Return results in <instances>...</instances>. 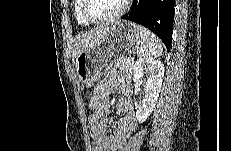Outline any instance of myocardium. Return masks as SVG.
<instances>
[{"instance_id":"f54148a6","label":"myocardium","mask_w":231,"mask_h":151,"mask_svg":"<svg viewBox=\"0 0 231 151\" xmlns=\"http://www.w3.org/2000/svg\"><path fill=\"white\" fill-rule=\"evenodd\" d=\"M87 1L88 0H81V13L82 16L84 17V19L86 21H88L89 23H93V24H102V23H108V22H112L115 21L117 19H119L120 17H122L126 11L128 10L129 4H130V0H124L123 6L121 7V9L116 12L113 15L104 17V18H93L91 17L88 12H87Z\"/></svg>"}]
</instances>
